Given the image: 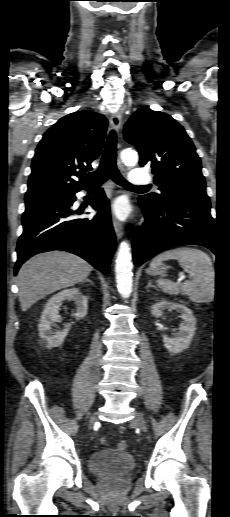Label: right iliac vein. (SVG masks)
<instances>
[{
	"label": "right iliac vein",
	"mask_w": 230,
	"mask_h": 517,
	"mask_svg": "<svg viewBox=\"0 0 230 517\" xmlns=\"http://www.w3.org/2000/svg\"><path fill=\"white\" fill-rule=\"evenodd\" d=\"M97 420V413H94L89 420V425L91 426Z\"/></svg>",
	"instance_id": "63e3f726"
}]
</instances>
